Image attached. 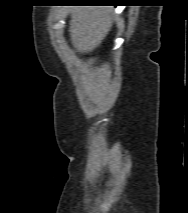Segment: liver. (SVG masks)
<instances>
[{
  "instance_id": "obj_1",
  "label": "liver",
  "mask_w": 188,
  "mask_h": 213,
  "mask_svg": "<svg viewBox=\"0 0 188 213\" xmlns=\"http://www.w3.org/2000/svg\"><path fill=\"white\" fill-rule=\"evenodd\" d=\"M111 7H77L72 10L69 32L72 45L82 53L92 52L112 28Z\"/></svg>"
}]
</instances>
